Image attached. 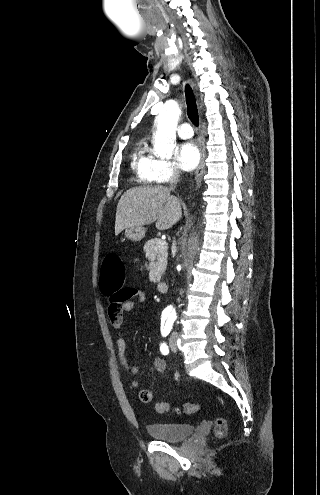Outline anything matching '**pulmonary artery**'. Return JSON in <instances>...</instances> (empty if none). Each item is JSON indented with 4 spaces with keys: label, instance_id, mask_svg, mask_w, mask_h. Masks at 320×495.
<instances>
[{
    "label": "pulmonary artery",
    "instance_id": "pulmonary-artery-1",
    "mask_svg": "<svg viewBox=\"0 0 320 495\" xmlns=\"http://www.w3.org/2000/svg\"><path fill=\"white\" fill-rule=\"evenodd\" d=\"M178 135L183 139H188L193 136V130L189 123H182L177 128Z\"/></svg>",
    "mask_w": 320,
    "mask_h": 495
}]
</instances>
